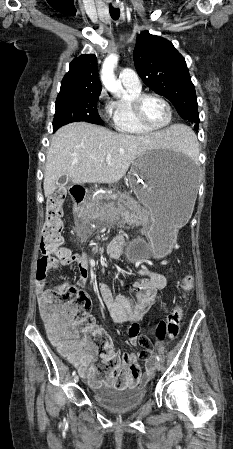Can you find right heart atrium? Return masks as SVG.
<instances>
[{
    "mask_svg": "<svg viewBox=\"0 0 233 449\" xmlns=\"http://www.w3.org/2000/svg\"><path fill=\"white\" fill-rule=\"evenodd\" d=\"M100 96L101 97H105V91L104 90L101 91Z\"/></svg>",
    "mask_w": 233,
    "mask_h": 449,
    "instance_id": "right-heart-atrium-1",
    "label": "right heart atrium"
}]
</instances>
